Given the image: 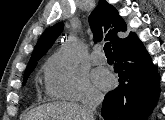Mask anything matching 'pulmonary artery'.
Listing matches in <instances>:
<instances>
[{
	"mask_svg": "<svg viewBox=\"0 0 165 120\" xmlns=\"http://www.w3.org/2000/svg\"><path fill=\"white\" fill-rule=\"evenodd\" d=\"M91 58L95 63H105L106 62V56L102 52V49L100 46H97L94 48Z\"/></svg>",
	"mask_w": 165,
	"mask_h": 120,
	"instance_id": "obj_1",
	"label": "pulmonary artery"
}]
</instances>
